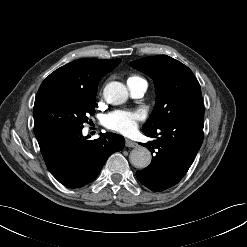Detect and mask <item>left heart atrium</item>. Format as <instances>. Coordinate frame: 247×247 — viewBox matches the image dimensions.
<instances>
[{"label": "left heart atrium", "mask_w": 247, "mask_h": 247, "mask_svg": "<svg viewBox=\"0 0 247 247\" xmlns=\"http://www.w3.org/2000/svg\"><path fill=\"white\" fill-rule=\"evenodd\" d=\"M142 119L143 115L140 112L117 110L104 117L103 125L121 134H130Z\"/></svg>", "instance_id": "39dd6f15"}]
</instances>
